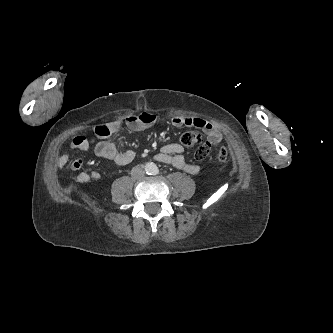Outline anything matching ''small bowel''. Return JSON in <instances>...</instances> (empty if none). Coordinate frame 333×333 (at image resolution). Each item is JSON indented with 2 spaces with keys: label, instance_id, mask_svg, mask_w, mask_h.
Returning <instances> with one entry per match:
<instances>
[{
  "label": "small bowel",
  "instance_id": "1",
  "mask_svg": "<svg viewBox=\"0 0 333 333\" xmlns=\"http://www.w3.org/2000/svg\"><path fill=\"white\" fill-rule=\"evenodd\" d=\"M156 121V116L151 113H141L139 115L127 116L124 120H116L110 122L107 126L110 130V135L100 137V140L95 143L84 136H76L70 143V150L87 151L94 145V152L97 156L105 158L114 162L117 165H127L135 157L132 150H119L113 142V136L119 133L124 126L134 129L143 130L151 127ZM172 124L175 127H195L201 129L207 136V139L212 144H217L222 140V133L218 127L209 121L202 118L189 117V116H175L172 119ZM183 147L178 143H170L162 147L161 152L155 158L157 161L173 165L177 168L183 169L189 174L196 175L199 173V167L194 164L186 162L183 156ZM69 153L60 155L57 160L58 167H63L69 162ZM83 161L76 159L70 164L73 171L79 170L82 167ZM100 174L93 171L90 174L81 173L76 178L77 183H86L91 179L97 180Z\"/></svg>",
  "mask_w": 333,
  "mask_h": 333
}]
</instances>
